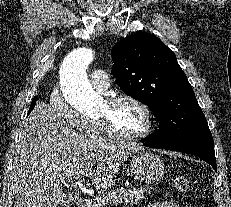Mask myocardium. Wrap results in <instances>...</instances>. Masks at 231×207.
I'll list each match as a JSON object with an SVG mask.
<instances>
[{"mask_svg":"<svg viewBox=\"0 0 231 207\" xmlns=\"http://www.w3.org/2000/svg\"><path fill=\"white\" fill-rule=\"evenodd\" d=\"M107 105L110 109L115 108L117 105L123 103V102H129L136 106H138L145 116V127L144 129L135 134V135H125L121 132H119L114 125L111 122L110 115L107 114L103 117L98 118V122L101 125L102 131L105 136H107L110 139L120 141V142H136L139 140H142L149 136L153 129H154V115L150 107L140 100L139 98L128 95V94H121V95H112L106 98Z\"/></svg>","mask_w":231,"mask_h":207,"instance_id":"f54148a6","label":"myocardium"}]
</instances>
